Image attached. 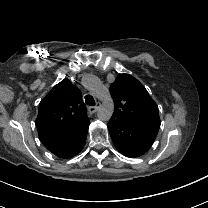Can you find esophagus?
<instances>
[{"instance_id": "esophagus-1", "label": "esophagus", "mask_w": 208, "mask_h": 208, "mask_svg": "<svg viewBox=\"0 0 208 208\" xmlns=\"http://www.w3.org/2000/svg\"><path fill=\"white\" fill-rule=\"evenodd\" d=\"M100 106H101V103L98 102V103L96 104V106H89V107L87 108V111H88L89 114H94V113L100 108Z\"/></svg>"}]
</instances>
